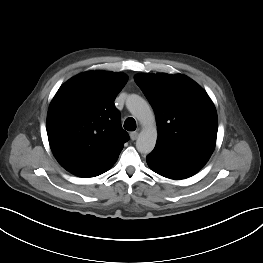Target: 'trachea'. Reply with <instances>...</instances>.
<instances>
[{
	"label": "trachea",
	"instance_id": "obj_1",
	"mask_svg": "<svg viewBox=\"0 0 263 263\" xmlns=\"http://www.w3.org/2000/svg\"><path fill=\"white\" fill-rule=\"evenodd\" d=\"M124 128L128 131H135L136 130V121L134 118L129 117L124 122Z\"/></svg>",
	"mask_w": 263,
	"mask_h": 263
}]
</instances>
